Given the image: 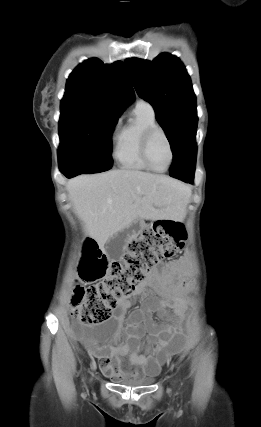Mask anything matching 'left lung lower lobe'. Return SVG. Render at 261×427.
<instances>
[{
	"label": "left lung lower lobe",
	"instance_id": "left-lung-lower-lobe-1",
	"mask_svg": "<svg viewBox=\"0 0 261 427\" xmlns=\"http://www.w3.org/2000/svg\"><path fill=\"white\" fill-rule=\"evenodd\" d=\"M196 164L195 134L188 137L181 145L173 160L170 176L186 183H192Z\"/></svg>",
	"mask_w": 261,
	"mask_h": 427
}]
</instances>
